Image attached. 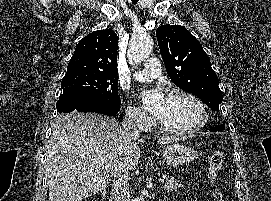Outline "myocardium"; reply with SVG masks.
Returning <instances> with one entry per match:
<instances>
[{
  "instance_id": "f54148a6",
  "label": "myocardium",
  "mask_w": 271,
  "mask_h": 201,
  "mask_svg": "<svg viewBox=\"0 0 271 201\" xmlns=\"http://www.w3.org/2000/svg\"><path fill=\"white\" fill-rule=\"evenodd\" d=\"M173 97H183L193 102L199 110L200 120L195 126L183 131L171 130L167 128L164 124H162L160 120H158L157 126L162 133L169 136H174V137H188L200 131L208 123L209 115H208L207 108L205 104L202 102V100L198 98L196 95L190 92H187L185 90L174 89L170 91L167 95V98H173Z\"/></svg>"
}]
</instances>
